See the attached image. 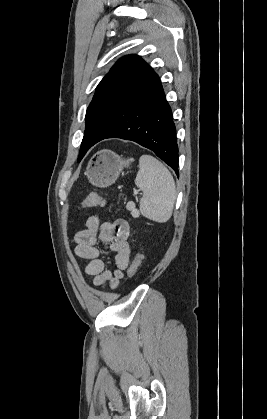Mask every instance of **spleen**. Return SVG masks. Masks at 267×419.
<instances>
[{"mask_svg":"<svg viewBox=\"0 0 267 419\" xmlns=\"http://www.w3.org/2000/svg\"><path fill=\"white\" fill-rule=\"evenodd\" d=\"M135 184L143 191L141 214L155 222L168 221L176 200L175 181L170 171L155 157L142 155Z\"/></svg>","mask_w":267,"mask_h":419,"instance_id":"1","label":"spleen"}]
</instances>
